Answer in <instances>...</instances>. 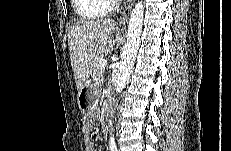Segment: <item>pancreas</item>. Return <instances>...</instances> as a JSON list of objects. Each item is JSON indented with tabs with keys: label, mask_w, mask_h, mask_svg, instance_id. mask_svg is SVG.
Wrapping results in <instances>:
<instances>
[{
	"label": "pancreas",
	"mask_w": 231,
	"mask_h": 151,
	"mask_svg": "<svg viewBox=\"0 0 231 151\" xmlns=\"http://www.w3.org/2000/svg\"><path fill=\"white\" fill-rule=\"evenodd\" d=\"M102 60H98L94 66L92 78L95 83H99L102 79L104 69L100 68V63Z\"/></svg>",
	"instance_id": "cf45deb5"
}]
</instances>
